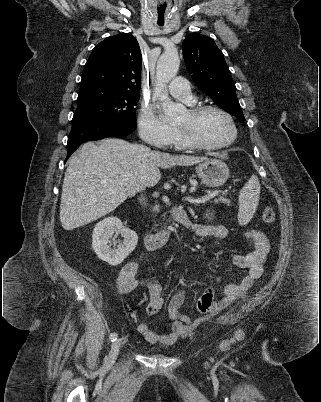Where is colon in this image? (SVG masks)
Wrapping results in <instances>:
<instances>
[{
  "instance_id": "obj_1",
  "label": "colon",
  "mask_w": 321,
  "mask_h": 402,
  "mask_svg": "<svg viewBox=\"0 0 321 402\" xmlns=\"http://www.w3.org/2000/svg\"><path fill=\"white\" fill-rule=\"evenodd\" d=\"M262 219L265 223H272L275 219V213L271 206H266L262 212ZM211 307V301L208 300L198 305L200 312H207Z\"/></svg>"
}]
</instances>
